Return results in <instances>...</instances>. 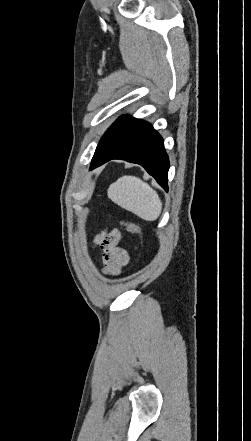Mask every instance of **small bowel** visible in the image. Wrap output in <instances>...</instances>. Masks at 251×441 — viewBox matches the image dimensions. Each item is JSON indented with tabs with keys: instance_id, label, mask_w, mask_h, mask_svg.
Here are the masks:
<instances>
[{
	"instance_id": "small-bowel-1",
	"label": "small bowel",
	"mask_w": 251,
	"mask_h": 441,
	"mask_svg": "<svg viewBox=\"0 0 251 441\" xmlns=\"http://www.w3.org/2000/svg\"><path fill=\"white\" fill-rule=\"evenodd\" d=\"M121 234L118 230L101 233L96 236L94 242L103 251L104 272L110 275H118L122 268L128 264V253L119 246Z\"/></svg>"
}]
</instances>
